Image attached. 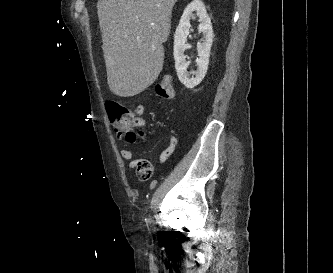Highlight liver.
<instances>
[{
  "label": "liver",
  "mask_w": 333,
  "mask_h": 273,
  "mask_svg": "<svg viewBox=\"0 0 333 273\" xmlns=\"http://www.w3.org/2000/svg\"><path fill=\"white\" fill-rule=\"evenodd\" d=\"M176 1L98 0L107 83L115 95H137L158 78Z\"/></svg>",
  "instance_id": "obj_1"
}]
</instances>
